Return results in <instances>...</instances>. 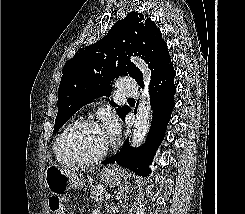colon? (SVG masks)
Here are the masks:
<instances>
[{
	"label": "colon",
	"mask_w": 245,
	"mask_h": 214,
	"mask_svg": "<svg viewBox=\"0 0 245 214\" xmlns=\"http://www.w3.org/2000/svg\"><path fill=\"white\" fill-rule=\"evenodd\" d=\"M49 207L51 211L55 214H72V213H68L63 210V208L61 207L60 201L57 198H52L49 200Z\"/></svg>",
	"instance_id": "obj_1"
}]
</instances>
